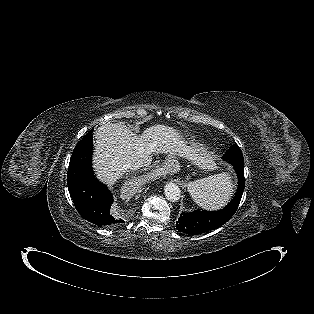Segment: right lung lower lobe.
Segmentation results:
<instances>
[{"mask_svg": "<svg viewBox=\"0 0 314 314\" xmlns=\"http://www.w3.org/2000/svg\"><path fill=\"white\" fill-rule=\"evenodd\" d=\"M92 131L83 137L73 151L67 173L68 189L77 211L84 219L98 226H114L124 221L118 214L110 213L113 196L93 173Z\"/></svg>", "mask_w": 314, "mask_h": 314, "instance_id": "1", "label": "right lung lower lobe"}]
</instances>
